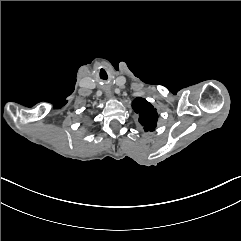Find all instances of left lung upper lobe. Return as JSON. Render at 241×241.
Instances as JSON below:
<instances>
[{"label":"left lung upper lobe","instance_id":"obj_1","mask_svg":"<svg viewBox=\"0 0 241 241\" xmlns=\"http://www.w3.org/2000/svg\"><path fill=\"white\" fill-rule=\"evenodd\" d=\"M132 108L139 114V122L146 132L154 131L158 119V114L153 105L143 98H136L132 103Z\"/></svg>","mask_w":241,"mask_h":241}]
</instances>
